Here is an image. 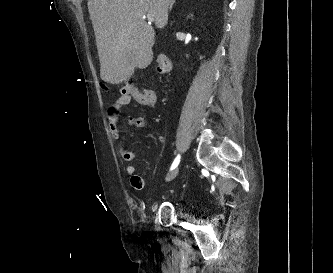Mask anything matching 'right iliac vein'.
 <instances>
[{"instance_id":"right-iliac-vein-1","label":"right iliac vein","mask_w":333,"mask_h":273,"mask_svg":"<svg viewBox=\"0 0 333 273\" xmlns=\"http://www.w3.org/2000/svg\"><path fill=\"white\" fill-rule=\"evenodd\" d=\"M179 169L175 168L173 169L165 178L166 182L172 181L177 175H178Z\"/></svg>"}]
</instances>
